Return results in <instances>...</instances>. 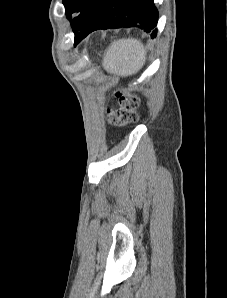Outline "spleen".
I'll use <instances>...</instances> for the list:
<instances>
[{"label":"spleen","instance_id":"obj_1","mask_svg":"<svg viewBox=\"0 0 227 298\" xmlns=\"http://www.w3.org/2000/svg\"><path fill=\"white\" fill-rule=\"evenodd\" d=\"M145 61L146 50L141 41L127 38L110 45L104 53L102 66L110 74L126 77L136 74Z\"/></svg>","mask_w":227,"mask_h":298}]
</instances>
